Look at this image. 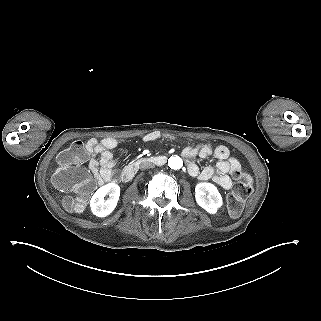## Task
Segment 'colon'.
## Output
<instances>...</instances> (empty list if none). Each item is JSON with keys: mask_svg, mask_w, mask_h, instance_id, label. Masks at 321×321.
I'll return each instance as SVG.
<instances>
[{"mask_svg": "<svg viewBox=\"0 0 321 321\" xmlns=\"http://www.w3.org/2000/svg\"><path fill=\"white\" fill-rule=\"evenodd\" d=\"M86 159L85 146L79 141L72 143L57 156L53 181L58 188L73 192L64 199V206L70 212H82L93 189L89 174L81 168ZM232 175L237 184L228 197V209L232 216H238L243 211L245 201L252 194V179L240 168L234 170Z\"/></svg>", "mask_w": 321, "mask_h": 321, "instance_id": "5ec220e1", "label": "colon"}]
</instances>
